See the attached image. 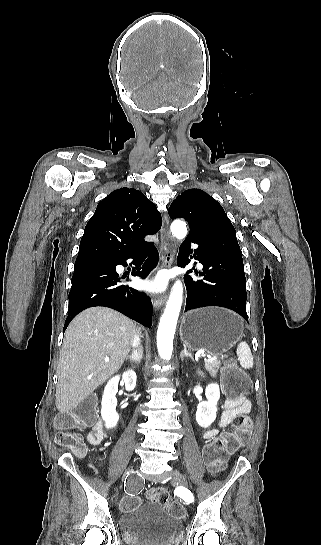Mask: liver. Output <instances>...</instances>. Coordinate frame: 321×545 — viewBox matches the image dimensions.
Segmentation results:
<instances>
[{
    "label": "liver",
    "mask_w": 321,
    "mask_h": 545,
    "mask_svg": "<svg viewBox=\"0 0 321 545\" xmlns=\"http://www.w3.org/2000/svg\"><path fill=\"white\" fill-rule=\"evenodd\" d=\"M135 333L130 319L106 307L86 309L71 321L58 361L56 407L60 413L76 409L119 371Z\"/></svg>",
    "instance_id": "liver-1"
}]
</instances>
